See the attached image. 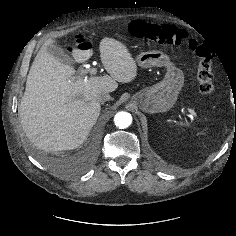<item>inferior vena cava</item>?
<instances>
[{
  "instance_id": "602c4592",
  "label": "inferior vena cava",
  "mask_w": 236,
  "mask_h": 236,
  "mask_svg": "<svg viewBox=\"0 0 236 236\" xmlns=\"http://www.w3.org/2000/svg\"><path fill=\"white\" fill-rule=\"evenodd\" d=\"M97 99L100 102H106L111 99L110 95L108 93H100L97 97Z\"/></svg>"
}]
</instances>
